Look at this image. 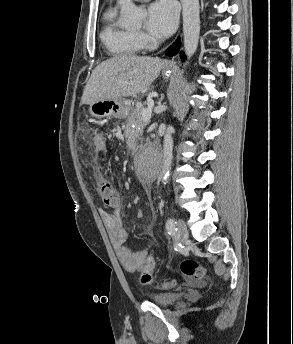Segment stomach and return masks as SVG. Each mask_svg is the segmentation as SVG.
<instances>
[{
    "mask_svg": "<svg viewBox=\"0 0 293 344\" xmlns=\"http://www.w3.org/2000/svg\"><path fill=\"white\" fill-rule=\"evenodd\" d=\"M164 75L170 74L166 71ZM130 110V105L123 98L100 100L90 105V113L95 118H125Z\"/></svg>",
    "mask_w": 293,
    "mask_h": 344,
    "instance_id": "0dacf381",
    "label": "stomach"
}]
</instances>
